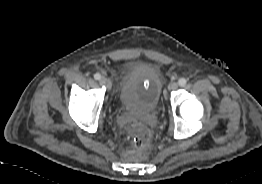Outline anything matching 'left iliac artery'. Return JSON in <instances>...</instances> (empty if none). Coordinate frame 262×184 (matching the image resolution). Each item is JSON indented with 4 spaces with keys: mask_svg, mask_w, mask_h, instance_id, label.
<instances>
[{
    "mask_svg": "<svg viewBox=\"0 0 262 184\" xmlns=\"http://www.w3.org/2000/svg\"><path fill=\"white\" fill-rule=\"evenodd\" d=\"M178 84L180 86H185L187 84V80L185 78H181L179 79Z\"/></svg>",
    "mask_w": 262,
    "mask_h": 184,
    "instance_id": "44dca946",
    "label": "left iliac artery"
}]
</instances>
